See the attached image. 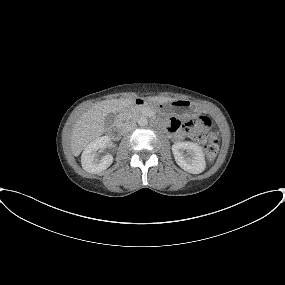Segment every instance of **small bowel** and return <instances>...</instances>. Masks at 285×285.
<instances>
[{
  "label": "small bowel",
  "instance_id": "small-bowel-1",
  "mask_svg": "<svg viewBox=\"0 0 285 285\" xmlns=\"http://www.w3.org/2000/svg\"><path fill=\"white\" fill-rule=\"evenodd\" d=\"M168 131L174 140H181L184 138V133L182 131H180L179 129L175 128L173 126V122H170V125L168 127Z\"/></svg>",
  "mask_w": 285,
  "mask_h": 285
}]
</instances>
